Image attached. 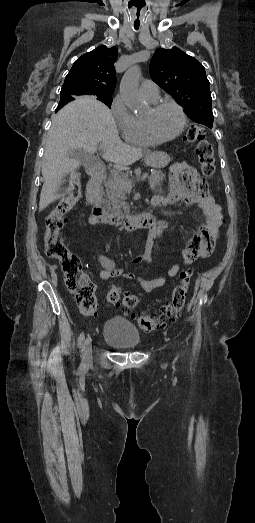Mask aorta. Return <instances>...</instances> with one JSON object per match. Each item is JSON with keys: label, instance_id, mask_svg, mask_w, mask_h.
<instances>
[{"label": "aorta", "instance_id": "1", "mask_svg": "<svg viewBox=\"0 0 255 523\" xmlns=\"http://www.w3.org/2000/svg\"><path fill=\"white\" fill-rule=\"evenodd\" d=\"M140 74L141 72L138 66H131L125 72L120 83V93L125 104L135 112H140L144 108L138 89Z\"/></svg>", "mask_w": 255, "mask_h": 523}]
</instances>
